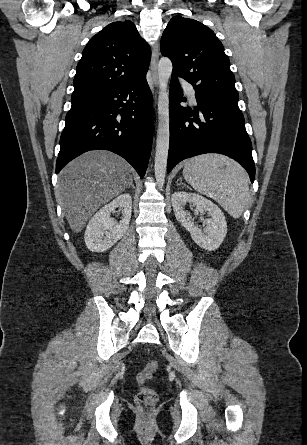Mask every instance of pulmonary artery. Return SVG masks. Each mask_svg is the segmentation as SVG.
I'll use <instances>...</instances> for the list:
<instances>
[{
    "instance_id": "pulmonary-artery-1",
    "label": "pulmonary artery",
    "mask_w": 307,
    "mask_h": 445,
    "mask_svg": "<svg viewBox=\"0 0 307 445\" xmlns=\"http://www.w3.org/2000/svg\"><path fill=\"white\" fill-rule=\"evenodd\" d=\"M180 88L182 90H189L191 88V83L189 81H182L180 83ZM190 99L195 102V94L194 91H191L189 94Z\"/></svg>"
}]
</instances>
